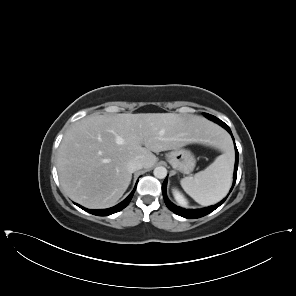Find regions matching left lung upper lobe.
<instances>
[{
	"instance_id": "5c2ea615",
	"label": "left lung upper lobe",
	"mask_w": 296,
	"mask_h": 296,
	"mask_svg": "<svg viewBox=\"0 0 296 296\" xmlns=\"http://www.w3.org/2000/svg\"><path fill=\"white\" fill-rule=\"evenodd\" d=\"M204 116L205 117H207L208 119H210V120H213L214 122H216V123H224V122H222L220 119H218V118H216L215 116H213V115H210V114H207V113H204Z\"/></svg>"
}]
</instances>
